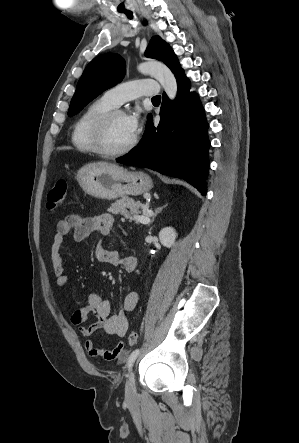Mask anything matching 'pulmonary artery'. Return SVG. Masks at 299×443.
<instances>
[{"instance_id":"e3ab8cb5","label":"pulmonary artery","mask_w":299,"mask_h":443,"mask_svg":"<svg viewBox=\"0 0 299 443\" xmlns=\"http://www.w3.org/2000/svg\"><path fill=\"white\" fill-rule=\"evenodd\" d=\"M158 94V84L152 79H138L124 82L107 90L103 97L117 107L126 101L140 96H155Z\"/></svg>"}]
</instances>
